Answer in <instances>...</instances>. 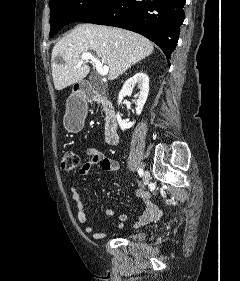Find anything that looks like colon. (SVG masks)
Segmentation results:
<instances>
[{
  "label": "colon",
  "mask_w": 240,
  "mask_h": 281,
  "mask_svg": "<svg viewBox=\"0 0 240 281\" xmlns=\"http://www.w3.org/2000/svg\"><path fill=\"white\" fill-rule=\"evenodd\" d=\"M80 164V158L74 151H65L61 157V167L65 171H73Z\"/></svg>",
  "instance_id": "obj_1"
}]
</instances>
